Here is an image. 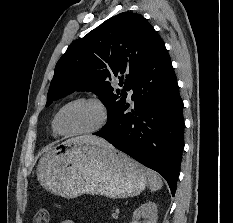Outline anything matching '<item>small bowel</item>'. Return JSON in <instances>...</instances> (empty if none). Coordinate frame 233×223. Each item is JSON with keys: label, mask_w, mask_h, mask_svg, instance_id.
<instances>
[{"label": "small bowel", "mask_w": 233, "mask_h": 223, "mask_svg": "<svg viewBox=\"0 0 233 223\" xmlns=\"http://www.w3.org/2000/svg\"><path fill=\"white\" fill-rule=\"evenodd\" d=\"M62 223H75V221L73 219H65Z\"/></svg>", "instance_id": "1"}]
</instances>
